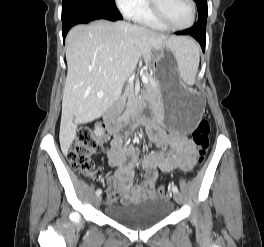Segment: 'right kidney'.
I'll return each mask as SVG.
<instances>
[{"label":"right kidney","mask_w":264,"mask_h":247,"mask_svg":"<svg viewBox=\"0 0 264 247\" xmlns=\"http://www.w3.org/2000/svg\"><path fill=\"white\" fill-rule=\"evenodd\" d=\"M102 132H103L102 129H100L99 127H96L95 134H96L97 136H101V135H102Z\"/></svg>","instance_id":"right-kidney-1"}]
</instances>
